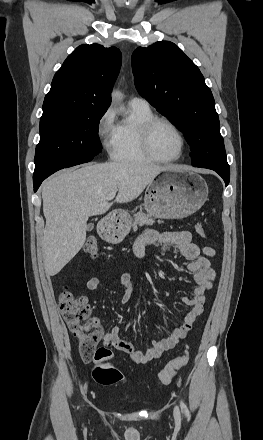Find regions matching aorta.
Here are the masks:
<instances>
[{"label":"aorta","mask_w":263,"mask_h":440,"mask_svg":"<svg viewBox=\"0 0 263 440\" xmlns=\"http://www.w3.org/2000/svg\"><path fill=\"white\" fill-rule=\"evenodd\" d=\"M121 98H122V94L120 92L115 91V92L112 93V99L113 100H119Z\"/></svg>","instance_id":"obj_1"}]
</instances>
